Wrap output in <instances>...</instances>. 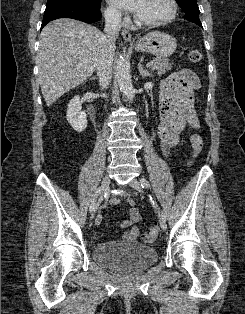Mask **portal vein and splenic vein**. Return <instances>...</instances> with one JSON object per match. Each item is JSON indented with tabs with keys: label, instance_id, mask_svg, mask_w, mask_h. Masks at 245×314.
I'll return each mask as SVG.
<instances>
[{
	"label": "portal vein and splenic vein",
	"instance_id": "1",
	"mask_svg": "<svg viewBox=\"0 0 245 314\" xmlns=\"http://www.w3.org/2000/svg\"><path fill=\"white\" fill-rule=\"evenodd\" d=\"M153 63H154V60H152V61L148 62L146 66H147V67H150V66H152V65H153Z\"/></svg>",
	"mask_w": 245,
	"mask_h": 314
}]
</instances>
